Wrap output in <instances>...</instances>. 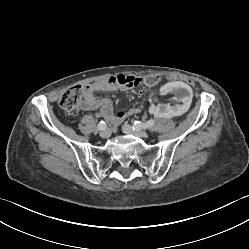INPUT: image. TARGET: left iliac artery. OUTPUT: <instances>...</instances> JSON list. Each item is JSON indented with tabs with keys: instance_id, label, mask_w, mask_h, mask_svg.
Instances as JSON below:
<instances>
[{
	"instance_id": "left-iliac-artery-1",
	"label": "left iliac artery",
	"mask_w": 249,
	"mask_h": 249,
	"mask_svg": "<svg viewBox=\"0 0 249 249\" xmlns=\"http://www.w3.org/2000/svg\"><path fill=\"white\" fill-rule=\"evenodd\" d=\"M154 120L150 119L146 123H141L139 121H135L133 124V130L139 131L141 128L149 129L154 126Z\"/></svg>"
}]
</instances>
